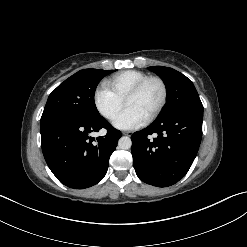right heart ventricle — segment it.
Here are the masks:
<instances>
[{
	"mask_svg": "<svg viewBox=\"0 0 247 247\" xmlns=\"http://www.w3.org/2000/svg\"><path fill=\"white\" fill-rule=\"evenodd\" d=\"M148 74L138 70H127L120 72L106 81L109 87L118 97L124 100L126 94Z\"/></svg>",
	"mask_w": 247,
	"mask_h": 247,
	"instance_id": "obj_1",
	"label": "right heart ventricle"
}]
</instances>
